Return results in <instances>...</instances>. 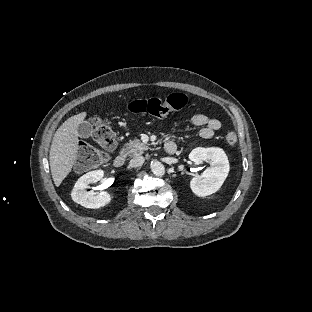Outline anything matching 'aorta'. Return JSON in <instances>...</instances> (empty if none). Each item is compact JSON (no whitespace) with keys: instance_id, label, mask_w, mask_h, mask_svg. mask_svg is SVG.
I'll return each instance as SVG.
<instances>
[{"instance_id":"aorta-1","label":"aorta","mask_w":312,"mask_h":312,"mask_svg":"<svg viewBox=\"0 0 312 312\" xmlns=\"http://www.w3.org/2000/svg\"><path fill=\"white\" fill-rule=\"evenodd\" d=\"M152 172L155 176L162 177L165 174V167L160 162H153L151 165Z\"/></svg>"}]
</instances>
